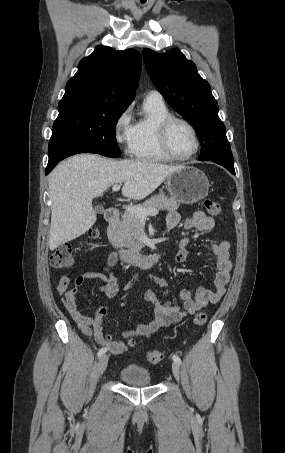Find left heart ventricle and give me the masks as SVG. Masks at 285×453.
Here are the masks:
<instances>
[{"label":"left heart ventricle","mask_w":285,"mask_h":453,"mask_svg":"<svg viewBox=\"0 0 285 453\" xmlns=\"http://www.w3.org/2000/svg\"><path fill=\"white\" fill-rule=\"evenodd\" d=\"M170 144L179 155H188L195 148V139L191 130L182 123H176L170 132Z\"/></svg>","instance_id":"obj_1"}]
</instances>
